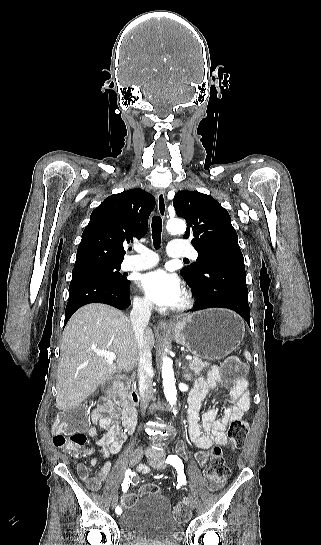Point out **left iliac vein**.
I'll return each instance as SVG.
<instances>
[{"label":"left iliac vein","mask_w":321,"mask_h":545,"mask_svg":"<svg viewBox=\"0 0 321 545\" xmlns=\"http://www.w3.org/2000/svg\"><path fill=\"white\" fill-rule=\"evenodd\" d=\"M148 462L152 467H155L157 469L165 468L161 456H151L148 458ZM188 501L191 509H195L197 506L196 498L193 495H189Z\"/></svg>","instance_id":"left-iliac-vein-1"}]
</instances>
